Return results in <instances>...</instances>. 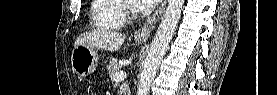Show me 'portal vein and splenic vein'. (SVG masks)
Listing matches in <instances>:
<instances>
[{"mask_svg":"<svg viewBox=\"0 0 277 95\" xmlns=\"http://www.w3.org/2000/svg\"><path fill=\"white\" fill-rule=\"evenodd\" d=\"M127 74L124 71H118L113 75L114 81H122L126 78Z\"/></svg>","mask_w":277,"mask_h":95,"instance_id":"obj_1","label":"portal vein and splenic vein"}]
</instances>
